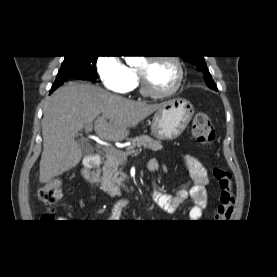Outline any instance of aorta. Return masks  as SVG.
Instances as JSON below:
<instances>
[{
    "mask_svg": "<svg viewBox=\"0 0 277 277\" xmlns=\"http://www.w3.org/2000/svg\"><path fill=\"white\" fill-rule=\"evenodd\" d=\"M128 61H134V59L131 56H127Z\"/></svg>",
    "mask_w": 277,
    "mask_h": 277,
    "instance_id": "762f6f07",
    "label": "aorta"
}]
</instances>
